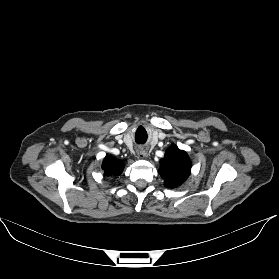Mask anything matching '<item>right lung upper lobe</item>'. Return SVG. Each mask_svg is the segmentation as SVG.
<instances>
[{"label":"right lung upper lobe","mask_w":279,"mask_h":279,"mask_svg":"<svg viewBox=\"0 0 279 279\" xmlns=\"http://www.w3.org/2000/svg\"><path fill=\"white\" fill-rule=\"evenodd\" d=\"M123 168L122 163L111 156H106L102 164V169L106 175H119L122 173Z\"/></svg>","instance_id":"cb5924a9"}]
</instances>
